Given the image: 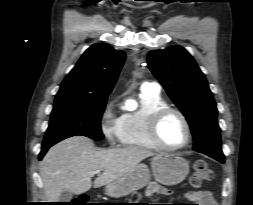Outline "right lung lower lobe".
<instances>
[{
  "instance_id": "98d812e1",
  "label": "right lung lower lobe",
  "mask_w": 253,
  "mask_h": 205,
  "mask_svg": "<svg viewBox=\"0 0 253 205\" xmlns=\"http://www.w3.org/2000/svg\"><path fill=\"white\" fill-rule=\"evenodd\" d=\"M51 146H42L41 152L39 154V160H41L43 158V156L45 155V153L47 152V150L50 148Z\"/></svg>"
}]
</instances>
